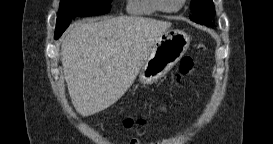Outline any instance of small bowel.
Here are the masks:
<instances>
[{
    "label": "small bowel",
    "mask_w": 273,
    "mask_h": 144,
    "mask_svg": "<svg viewBox=\"0 0 273 144\" xmlns=\"http://www.w3.org/2000/svg\"><path fill=\"white\" fill-rule=\"evenodd\" d=\"M127 143L128 144H140V142L137 139H130ZM171 143L172 142L167 139H163V140H159L157 142H154V144H171Z\"/></svg>",
    "instance_id": "obj_1"
}]
</instances>
